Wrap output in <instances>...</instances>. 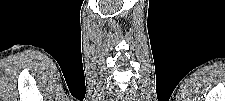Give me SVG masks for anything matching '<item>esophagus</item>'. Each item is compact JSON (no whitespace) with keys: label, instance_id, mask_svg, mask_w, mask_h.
I'll return each mask as SVG.
<instances>
[{"label":"esophagus","instance_id":"esophagus-1","mask_svg":"<svg viewBox=\"0 0 225 101\" xmlns=\"http://www.w3.org/2000/svg\"><path fill=\"white\" fill-rule=\"evenodd\" d=\"M118 100H119V101H124L125 99H124L122 96H120V97L118 98Z\"/></svg>","mask_w":225,"mask_h":101}]
</instances>
